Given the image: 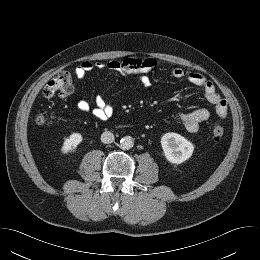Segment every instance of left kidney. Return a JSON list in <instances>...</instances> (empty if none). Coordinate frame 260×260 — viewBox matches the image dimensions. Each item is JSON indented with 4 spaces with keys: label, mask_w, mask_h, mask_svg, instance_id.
<instances>
[{
    "label": "left kidney",
    "mask_w": 260,
    "mask_h": 260,
    "mask_svg": "<svg viewBox=\"0 0 260 260\" xmlns=\"http://www.w3.org/2000/svg\"><path fill=\"white\" fill-rule=\"evenodd\" d=\"M161 146L166 159L174 164H181L192 156L193 144L180 134L169 132L162 136Z\"/></svg>",
    "instance_id": "1"
}]
</instances>
